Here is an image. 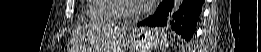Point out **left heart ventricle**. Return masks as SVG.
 Wrapping results in <instances>:
<instances>
[{
	"instance_id": "left-heart-ventricle-1",
	"label": "left heart ventricle",
	"mask_w": 261,
	"mask_h": 52,
	"mask_svg": "<svg viewBox=\"0 0 261 52\" xmlns=\"http://www.w3.org/2000/svg\"><path fill=\"white\" fill-rule=\"evenodd\" d=\"M125 6L129 12H134L137 7V3L135 1H128L125 2Z\"/></svg>"
}]
</instances>
